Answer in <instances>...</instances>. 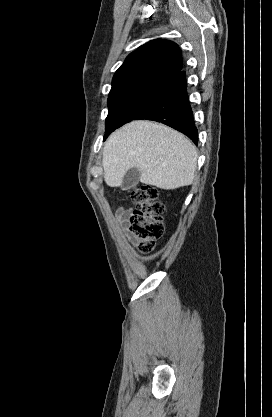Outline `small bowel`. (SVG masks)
Returning a JSON list of instances; mask_svg holds the SVG:
<instances>
[{
    "mask_svg": "<svg viewBox=\"0 0 272 417\" xmlns=\"http://www.w3.org/2000/svg\"><path fill=\"white\" fill-rule=\"evenodd\" d=\"M115 215H116L117 220L119 221V223L123 227V231H124L125 236L130 241H134L135 240L134 236L128 230L129 217L131 215V210L130 209L123 208V207H118L115 210Z\"/></svg>",
    "mask_w": 272,
    "mask_h": 417,
    "instance_id": "c3829d8e",
    "label": "small bowel"
}]
</instances>
